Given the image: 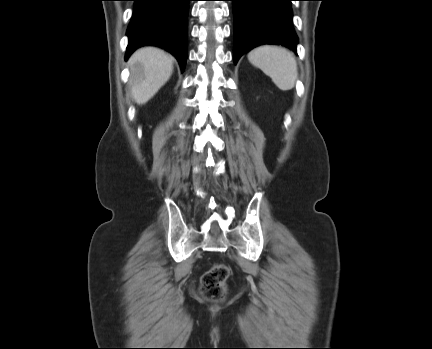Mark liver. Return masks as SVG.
<instances>
[{
  "instance_id": "6515ba94",
  "label": "liver",
  "mask_w": 432,
  "mask_h": 349,
  "mask_svg": "<svg viewBox=\"0 0 432 349\" xmlns=\"http://www.w3.org/2000/svg\"><path fill=\"white\" fill-rule=\"evenodd\" d=\"M174 58L161 49L143 47L130 57L129 82L132 96L138 104L148 102L169 80L173 72Z\"/></svg>"
}]
</instances>
